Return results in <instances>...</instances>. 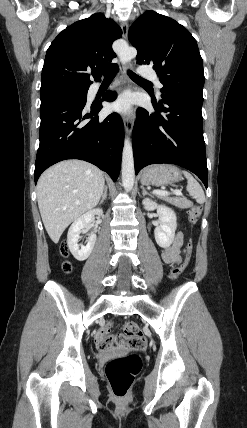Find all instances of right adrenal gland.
I'll use <instances>...</instances> for the list:
<instances>
[{
	"instance_id": "1",
	"label": "right adrenal gland",
	"mask_w": 247,
	"mask_h": 428,
	"mask_svg": "<svg viewBox=\"0 0 247 428\" xmlns=\"http://www.w3.org/2000/svg\"><path fill=\"white\" fill-rule=\"evenodd\" d=\"M107 191H108V187H107V185H105L104 193H103L102 198L100 200V204H102L104 202V200L107 198Z\"/></svg>"
}]
</instances>
